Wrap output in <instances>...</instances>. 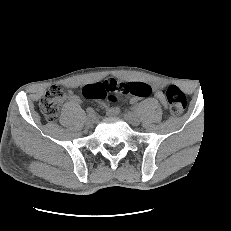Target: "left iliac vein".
Here are the masks:
<instances>
[{
	"mask_svg": "<svg viewBox=\"0 0 231 231\" xmlns=\"http://www.w3.org/2000/svg\"><path fill=\"white\" fill-rule=\"evenodd\" d=\"M124 119L134 126H138L140 124V119L134 113L128 112L124 115Z\"/></svg>",
	"mask_w": 231,
	"mask_h": 231,
	"instance_id": "obj_1",
	"label": "left iliac vein"
}]
</instances>
